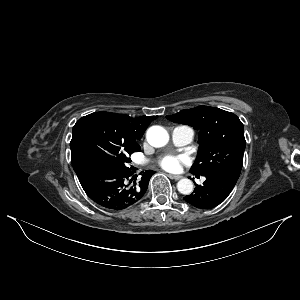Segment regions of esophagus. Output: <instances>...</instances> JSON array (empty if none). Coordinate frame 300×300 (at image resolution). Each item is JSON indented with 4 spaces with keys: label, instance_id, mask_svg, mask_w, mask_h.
Here are the masks:
<instances>
[{
    "label": "esophagus",
    "instance_id": "1",
    "mask_svg": "<svg viewBox=\"0 0 300 300\" xmlns=\"http://www.w3.org/2000/svg\"><path fill=\"white\" fill-rule=\"evenodd\" d=\"M169 177L174 180H180L182 178V176L180 175H172V174H170Z\"/></svg>",
    "mask_w": 300,
    "mask_h": 300
}]
</instances>
